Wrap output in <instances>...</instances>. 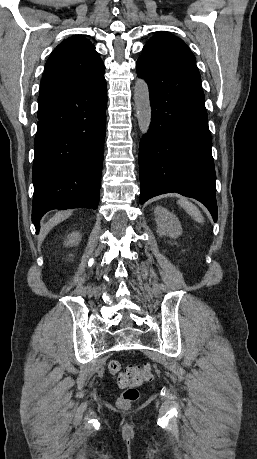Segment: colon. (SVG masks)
<instances>
[{
    "label": "colon",
    "instance_id": "5ec220e1",
    "mask_svg": "<svg viewBox=\"0 0 257 459\" xmlns=\"http://www.w3.org/2000/svg\"><path fill=\"white\" fill-rule=\"evenodd\" d=\"M108 370L115 377L118 385L124 388L117 400V406L121 409L129 408L139 397L137 387L151 379L149 364L129 366L122 371L121 364L111 360L108 363Z\"/></svg>",
    "mask_w": 257,
    "mask_h": 459
}]
</instances>
